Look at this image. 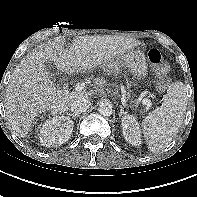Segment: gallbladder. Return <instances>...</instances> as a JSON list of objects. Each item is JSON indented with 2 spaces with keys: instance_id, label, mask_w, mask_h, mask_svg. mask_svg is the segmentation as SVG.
Listing matches in <instances>:
<instances>
[{
  "instance_id": "bac80fb5",
  "label": "gallbladder",
  "mask_w": 197,
  "mask_h": 197,
  "mask_svg": "<svg viewBox=\"0 0 197 197\" xmlns=\"http://www.w3.org/2000/svg\"><path fill=\"white\" fill-rule=\"evenodd\" d=\"M45 70L52 76L54 75V71L56 70V66H54L51 63H46L45 64Z\"/></svg>"
}]
</instances>
